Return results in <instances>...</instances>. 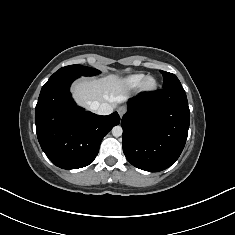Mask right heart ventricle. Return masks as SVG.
<instances>
[{"mask_svg":"<svg viewBox=\"0 0 235 235\" xmlns=\"http://www.w3.org/2000/svg\"><path fill=\"white\" fill-rule=\"evenodd\" d=\"M144 78H145V76L143 74H134V75L128 76L124 80V83L128 88L134 89V88H137L141 85Z\"/></svg>","mask_w":235,"mask_h":235,"instance_id":"right-heart-ventricle-1","label":"right heart ventricle"}]
</instances>
